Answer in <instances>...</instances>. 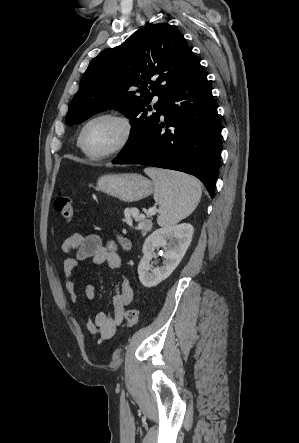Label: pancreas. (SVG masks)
Here are the masks:
<instances>
[{"label": "pancreas", "mask_w": 299, "mask_h": 443, "mask_svg": "<svg viewBox=\"0 0 299 443\" xmlns=\"http://www.w3.org/2000/svg\"><path fill=\"white\" fill-rule=\"evenodd\" d=\"M133 217L138 221V230L141 231V234L145 236L148 232L151 231L152 228V220L143 215H139L138 212L133 215Z\"/></svg>", "instance_id": "1"}]
</instances>
